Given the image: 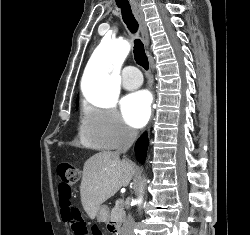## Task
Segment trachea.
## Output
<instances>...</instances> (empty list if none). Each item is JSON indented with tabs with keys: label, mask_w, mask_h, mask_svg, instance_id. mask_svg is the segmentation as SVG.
<instances>
[{
	"label": "trachea",
	"mask_w": 250,
	"mask_h": 235,
	"mask_svg": "<svg viewBox=\"0 0 250 235\" xmlns=\"http://www.w3.org/2000/svg\"><path fill=\"white\" fill-rule=\"evenodd\" d=\"M118 7L121 9L122 18L127 28L129 29L131 33L135 34L138 31L139 25L132 13L131 6L130 5L128 6L118 5ZM133 52H134L136 63L140 65L141 67H143L145 70H148L149 68L148 58L145 53L144 45L140 39L134 40Z\"/></svg>",
	"instance_id": "obj_1"
}]
</instances>
